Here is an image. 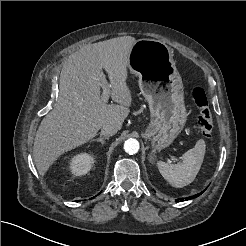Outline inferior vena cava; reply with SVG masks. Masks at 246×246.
Instances as JSON below:
<instances>
[{
  "label": "inferior vena cava",
  "mask_w": 246,
  "mask_h": 246,
  "mask_svg": "<svg viewBox=\"0 0 246 246\" xmlns=\"http://www.w3.org/2000/svg\"><path fill=\"white\" fill-rule=\"evenodd\" d=\"M117 131L118 129L110 124L103 125L101 128V134L107 137L115 135Z\"/></svg>",
  "instance_id": "inferior-vena-cava-1"
}]
</instances>
